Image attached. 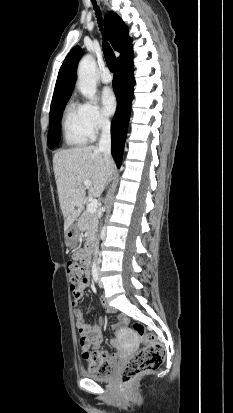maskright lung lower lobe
<instances>
[{
    "label": "right lung lower lobe",
    "instance_id": "98d812e1",
    "mask_svg": "<svg viewBox=\"0 0 233 413\" xmlns=\"http://www.w3.org/2000/svg\"><path fill=\"white\" fill-rule=\"evenodd\" d=\"M133 51L117 62L113 87L117 97V111L111 123V152L120 167L130 118L131 101L133 97Z\"/></svg>",
    "mask_w": 233,
    "mask_h": 413
}]
</instances>
